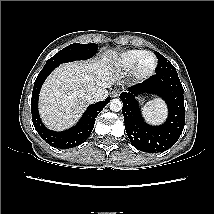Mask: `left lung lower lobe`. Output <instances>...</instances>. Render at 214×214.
Returning a JSON list of instances; mask_svg holds the SVG:
<instances>
[{"label": "left lung lower lobe", "mask_w": 214, "mask_h": 214, "mask_svg": "<svg viewBox=\"0 0 214 214\" xmlns=\"http://www.w3.org/2000/svg\"><path fill=\"white\" fill-rule=\"evenodd\" d=\"M183 87L176 73H156L143 83L120 94L125 129L132 145L140 151L157 153L171 148L179 139L185 123ZM157 94L168 106V118L163 125L147 124L141 114L139 95Z\"/></svg>", "instance_id": "1"}]
</instances>
